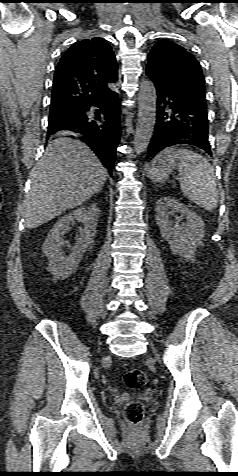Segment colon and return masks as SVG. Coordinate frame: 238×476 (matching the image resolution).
<instances>
[{
    "instance_id": "5ec220e1",
    "label": "colon",
    "mask_w": 238,
    "mask_h": 476,
    "mask_svg": "<svg viewBox=\"0 0 238 476\" xmlns=\"http://www.w3.org/2000/svg\"><path fill=\"white\" fill-rule=\"evenodd\" d=\"M124 382L129 388L138 389L146 384V375L142 370L133 368L124 374ZM143 414L144 407L136 400L128 402L124 408L126 420L133 425H138L141 422Z\"/></svg>"
}]
</instances>
